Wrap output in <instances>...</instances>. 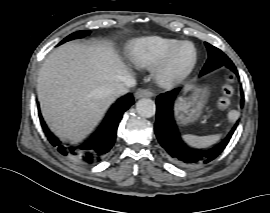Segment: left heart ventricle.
Instances as JSON below:
<instances>
[{
	"label": "left heart ventricle",
	"mask_w": 270,
	"mask_h": 213,
	"mask_svg": "<svg viewBox=\"0 0 270 213\" xmlns=\"http://www.w3.org/2000/svg\"><path fill=\"white\" fill-rule=\"evenodd\" d=\"M193 51L190 45L184 44L178 48L174 57V64L176 67H183L187 65L192 59Z\"/></svg>",
	"instance_id": "1"
}]
</instances>
